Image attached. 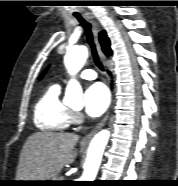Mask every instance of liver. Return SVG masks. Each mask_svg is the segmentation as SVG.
Wrapping results in <instances>:
<instances>
[{
  "label": "liver",
  "mask_w": 178,
  "mask_h": 186,
  "mask_svg": "<svg viewBox=\"0 0 178 186\" xmlns=\"http://www.w3.org/2000/svg\"><path fill=\"white\" fill-rule=\"evenodd\" d=\"M78 135L43 131L30 135L21 151L17 181H46L73 163Z\"/></svg>",
  "instance_id": "1"
}]
</instances>
